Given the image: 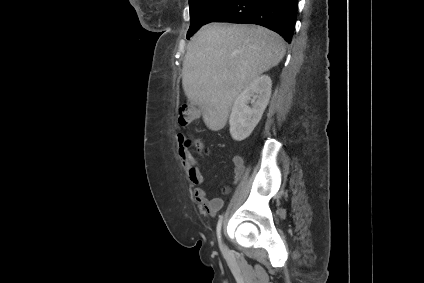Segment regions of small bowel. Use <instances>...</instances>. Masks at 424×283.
Masks as SVG:
<instances>
[{
    "mask_svg": "<svg viewBox=\"0 0 424 283\" xmlns=\"http://www.w3.org/2000/svg\"><path fill=\"white\" fill-rule=\"evenodd\" d=\"M178 143V154L182 165L184 166L186 173L188 174L191 182L195 185L194 197L195 200L211 215H215L222 207L223 200L221 198H208L207 191L201 187L204 183V176L197 165L196 161L189 155L186 139L183 135L177 136ZM234 164V178L233 183H237L244 174V160L240 155L233 157ZM230 191V187L227 186L224 189L225 193Z\"/></svg>",
    "mask_w": 424,
    "mask_h": 283,
    "instance_id": "obj_1",
    "label": "small bowel"
}]
</instances>
